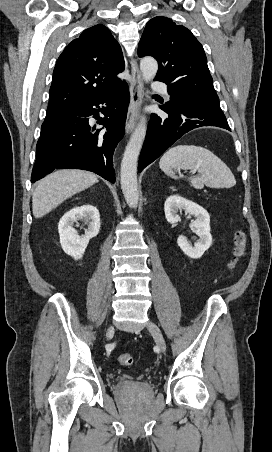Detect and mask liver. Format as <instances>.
<instances>
[{"label":"liver","instance_id":"1","mask_svg":"<svg viewBox=\"0 0 272 452\" xmlns=\"http://www.w3.org/2000/svg\"><path fill=\"white\" fill-rule=\"evenodd\" d=\"M98 182V177L89 171L65 169L55 171L42 179L32 196V211L41 218L69 197Z\"/></svg>","mask_w":272,"mask_h":452}]
</instances>
